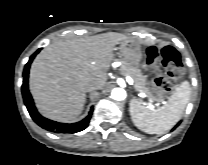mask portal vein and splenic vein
<instances>
[{
  "mask_svg": "<svg viewBox=\"0 0 208 165\" xmlns=\"http://www.w3.org/2000/svg\"><path fill=\"white\" fill-rule=\"evenodd\" d=\"M126 80L129 82L131 80V78L126 77ZM139 96L142 97V98H147L148 99V101H149L148 107L149 108L153 109L155 106H158L160 104V103L153 104L156 100L147 97L145 93H140Z\"/></svg>",
  "mask_w": 208,
  "mask_h": 165,
  "instance_id": "obj_1",
  "label": "portal vein and splenic vein"
}]
</instances>
